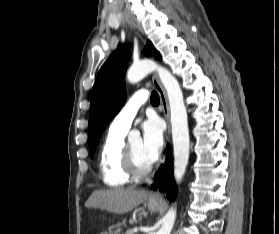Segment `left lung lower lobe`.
<instances>
[{"label":"left lung lower lobe","instance_id":"left-lung-lower-lobe-1","mask_svg":"<svg viewBox=\"0 0 279 234\" xmlns=\"http://www.w3.org/2000/svg\"><path fill=\"white\" fill-rule=\"evenodd\" d=\"M154 182H155V185H153L154 189L158 187L161 191L166 192L169 200L173 201L175 199L177 189L173 179L170 150H168L165 164L155 174Z\"/></svg>","mask_w":279,"mask_h":234}]
</instances>
